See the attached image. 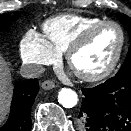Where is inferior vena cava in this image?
Listing matches in <instances>:
<instances>
[{
  "mask_svg": "<svg viewBox=\"0 0 131 131\" xmlns=\"http://www.w3.org/2000/svg\"><path fill=\"white\" fill-rule=\"evenodd\" d=\"M45 71V68L40 65H24L20 69V73L25 78H35L40 76Z\"/></svg>",
  "mask_w": 131,
  "mask_h": 131,
  "instance_id": "obj_1",
  "label": "inferior vena cava"
}]
</instances>
